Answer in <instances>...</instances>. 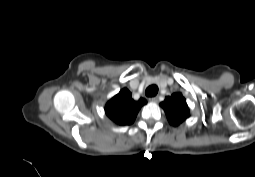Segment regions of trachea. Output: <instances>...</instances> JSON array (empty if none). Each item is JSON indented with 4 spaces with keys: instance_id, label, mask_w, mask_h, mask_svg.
<instances>
[{
    "instance_id": "obj_1",
    "label": "trachea",
    "mask_w": 255,
    "mask_h": 177,
    "mask_svg": "<svg viewBox=\"0 0 255 177\" xmlns=\"http://www.w3.org/2000/svg\"><path fill=\"white\" fill-rule=\"evenodd\" d=\"M157 93H158V87L156 85L149 86L145 91V94L148 97H154Z\"/></svg>"
}]
</instances>
